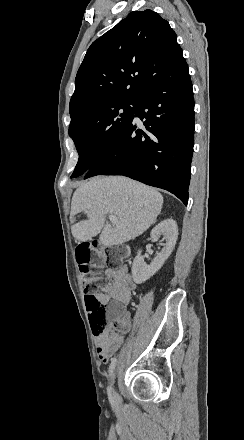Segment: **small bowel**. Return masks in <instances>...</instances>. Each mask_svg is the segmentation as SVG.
<instances>
[{"mask_svg":"<svg viewBox=\"0 0 244 440\" xmlns=\"http://www.w3.org/2000/svg\"><path fill=\"white\" fill-rule=\"evenodd\" d=\"M107 283L101 287L100 291L92 295H86V299L93 297L100 300H117L121 306H127L132 301L133 291L136 283L133 280L129 268L123 265L117 269H106L103 272ZM110 328L99 336L95 337V346L98 359L106 364L112 359V355L118 351L124 343L125 338H115L111 335ZM131 329V327H130Z\"/></svg>","mask_w":244,"mask_h":440,"instance_id":"c3829d8e","label":"small bowel"}]
</instances>
